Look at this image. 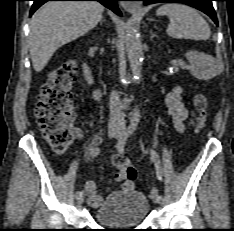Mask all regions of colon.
I'll return each mask as SVG.
<instances>
[{"label": "colon", "instance_id": "5ec220e1", "mask_svg": "<svg viewBox=\"0 0 234 231\" xmlns=\"http://www.w3.org/2000/svg\"><path fill=\"white\" fill-rule=\"evenodd\" d=\"M76 70L71 60L53 70L41 87L35 107L42 134L57 153L66 151L73 139L70 126L75 117L72 98ZM194 105L198 112L195 126L200 130L207 122L210 102L205 95L198 94ZM114 162L118 168L116 180L133 182L136 179V171L127 158L118 155Z\"/></svg>", "mask_w": 234, "mask_h": 231}]
</instances>
